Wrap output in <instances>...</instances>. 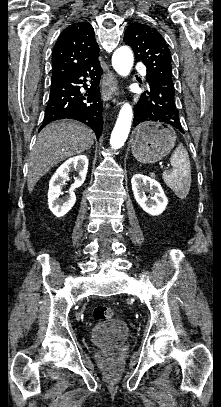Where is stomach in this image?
<instances>
[{
    "instance_id": "stomach-1",
    "label": "stomach",
    "mask_w": 221,
    "mask_h": 407,
    "mask_svg": "<svg viewBox=\"0 0 221 407\" xmlns=\"http://www.w3.org/2000/svg\"><path fill=\"white\" fill-rule=\"evenodd\" d=\"M176 138V133L171 127L147 121L137 127L131 151L139 162L152 164L173 149Z\"/></svg>"
}]
</instances>
